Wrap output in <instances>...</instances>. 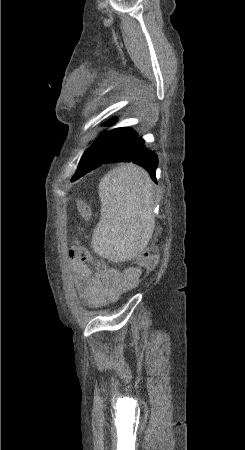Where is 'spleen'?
<instances>
[{
  "label": "spleen",
  "instance_id": "spleen-1",
  "mask_svg": "<svg viewBox=\"0 0 245 450\" xmlns=\"http://www.w3.org/2000/svg\"><path fill=\"white\" fill-rule=\"evenodd\" d=\"M101 216L93 230L95 253L114 262L135 258L155 228L154 191L148 173L134 164L109 171L100 181Z\"/></svg>",
  "mask_w": 245,
  "mask_h": 450
}]
</instances>
